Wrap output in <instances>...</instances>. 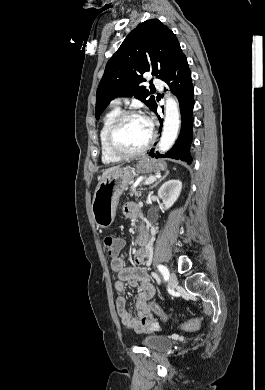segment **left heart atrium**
Listing matches in <instances>:
<instances>
[{
    "label": "left heart atrium",
    "instance_id": "obj_1",
    "mask_svg": "<svg viewBox=\"0 0 265 390\" xmlns=\"http://www.w3.org/2000/svg\"><path fill=\"white\" fill-rule=\"evenodd\" d=\"M143 120H144L145 124L147 125V127H148L149 129H151V123H150V121H149L148 119H146V118H143Z\"/></svg>",
    "mask_w": 265,
    "mask_h": 390
}]
</instances>
